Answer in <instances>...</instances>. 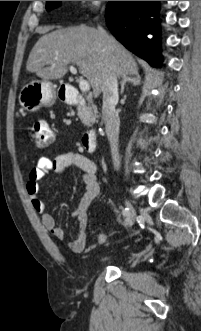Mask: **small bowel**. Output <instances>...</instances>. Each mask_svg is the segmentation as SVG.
Returning <instances> with one entry per match:
<instances>
[{
    "label": "small bowel",
    "instance_id": "small-bowel-1",
    "mask_svg": "<svg viewBox=\"0 0 201 331\" xmlns=\"http://www.w3.org/2000/svg\"><path fill=\"white\" fill-rule=\"evenodd\" d=\"M70 166H77L83 172L82 181L85 185V192L81 197L77 207L72 211L71 216L76 220V237L68 243V248L74 253H81L86 249V229L88 223V209L91 203L98 197L100 186L97 181L96 164L83 154L75 151L66 152L56 156L53 160L48 157H39L35 165L28 173L26 191L29 195L34 210L40 214L44 227L58 240L65 239V232L56 225L54 217L47 212L46 205L38 196L39 181L48 172L54 171L59 175H65ZM106 237L99 234L95 243L88 248L93 249L97 245L104 243Z\"/></svg>",
    "mask_w": 201,
    "mask_h": 331
}]
</instances>
